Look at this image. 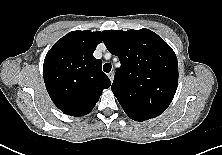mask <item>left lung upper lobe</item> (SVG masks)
<instances>
[{
	"instance_id": "obj_1",
	"label": "left lung upper lobe",
	"mask_w": 222,
	"mask_h": 155,
	"mask_svg": "<svg viewBox=\"0 0 222 155\" xmlns=\"http://www.w3.org/2000/svg\"><path fill=\"white\" fill-rule=\"evenodd\" d=\"M104 44L119 57L111 89L133 120H147L170 105L178 84V62L171 47L149 29L105 30Z\"/></svg>"
}]
</instances>
